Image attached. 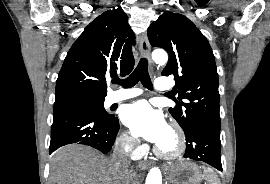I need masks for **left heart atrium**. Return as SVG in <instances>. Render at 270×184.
Listing matches in <instances>:
<instances>
[{"label":"left heart atrium","mask_w":270,"mask_h":184,"mask_svg":"<svg viewBox=\"0 0 270 184\" xmlns=\"http://www.w3.org/2000/svg\"><path fill=\"white\" fill-rule=\"evenodd\" d=\"M122 119L135 137L143 138L156 145L162 142L169 131L163 114L155 110L146 100L128 105Z\"/></svg>","instance_id":"obj_1"}]
</instances>
